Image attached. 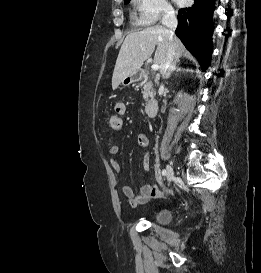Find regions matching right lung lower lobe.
<instances>
[{
    "label": "right lung lower lobe",
    "mask_w": 261,
    "mask_h": 273,
    "mask_svg": "<svg viewBox=\"0 0 261 273\" xmlns=\"http://www.w3.org/2000/svg\"><path fill=\"white\" fill-rule=\"evenodd\" d=\"M214 3L215 0H194L192 7L178 12L175 33L197 58L203 71H206L211 61Z\"/></svg>",
    "instance_id": "right-lung-lower-lobe-1"
}]
</instances>
